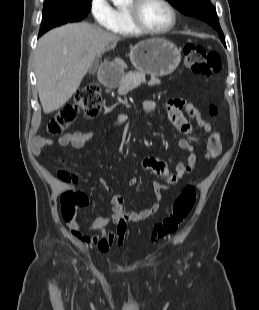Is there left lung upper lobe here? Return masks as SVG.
I'll return each mask as SVG.
<instances>
[{"instance_id": "5c2ea615", "label": "left lung upper lobe", "mask_w": 259, "mask_h": 310, "mask_svg": "<svg viewBox=\"0 0 259 310\" xmlns=\"http://www.w3.org/2000/svg\"><path fill=\"white\" fill-rule=\"evenodd\" d=\"M182 13L206 21L224 39L216 9L210 0H167Z\"/></svg>"}]
</instances>
